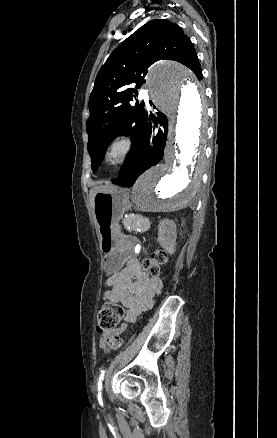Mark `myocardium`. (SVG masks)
<instances>
[{
    "instance_id": "f54148a6",
    "label": "myocardium",
    "mask_w": 277,
    "mask_h": 438,
    "mask_svg": "<svg viewBox=\"0 0 277 438\" xmlns=\"http://www.w3.org/2000/svg\"><path fill=\"white\" fill-rule=\"evenodd\" d=\"M134 147V139L128 134H122L109 143L104 152V160L111 167L120 166L130 157Z\"/></svg>"
}]
</instances>
